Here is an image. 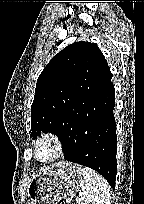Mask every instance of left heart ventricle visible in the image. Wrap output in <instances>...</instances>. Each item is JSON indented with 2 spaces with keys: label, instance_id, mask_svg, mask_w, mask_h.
<instances>
[{
  "label": "left heart ventricle",
  "instance_id": "1",
  "mask_svg": "<svg viewBox=\"0 0 144 204\" xmlns=\"http://www.w3.org/2000/svg\"><path fill=\"white\" fill-rule=\"evenodd\" d=\"M55 153V147L52 143L46 141L39 145L38 147V157L40 159H48L52 157Z\"/></svg>",
  "mask_w": 144,
  "mask_h": 204
}]
</instances>
